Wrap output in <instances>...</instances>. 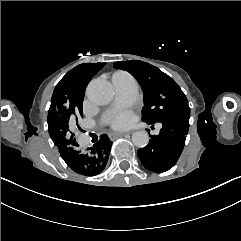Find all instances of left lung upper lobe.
I'll list each match as a JSON object with an SVG mask.
<instances>
[{
  "mask_svg": "<svg viewBox=\"0 0 241 241\" xmlns=\"http://www.w3.org/2000/svg\"><path fill=\"white\" fill-rule=\"evenodd\" d=\"M131 73L144 93L142 120L148 124L190 114L187 98L176 82L157 67L143 61L115 62Z\"/></svg>",
  "mask_w": 241,
  "mask_h": 241,
  "instance_id": "5c2ea615",
  "label": "left lung upper lobe"
}]
</instances>
